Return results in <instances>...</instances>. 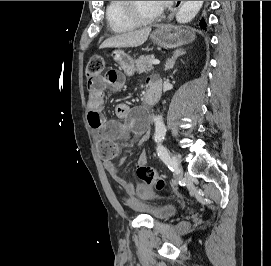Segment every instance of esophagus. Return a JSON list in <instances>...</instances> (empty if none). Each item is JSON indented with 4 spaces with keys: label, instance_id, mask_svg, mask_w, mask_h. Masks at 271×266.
Instances as JSON below:
<instances>
[{
    "label": "esophagus",
    "instance_id": "1",
    "mask_svg": "<svg viewBox=\"0 0 271 266\" xmlns=\"http://www.w3.org/2000/svg\"><path fill=\"white\" fill-rule=\"evenodd\" d=\"M184 3V1H175L174 7L169 15V20H172L177 10L180 8V6Z\"/></svg>",
    "mask_w": 271,
    "mask_h": 266
}]
</instances>
